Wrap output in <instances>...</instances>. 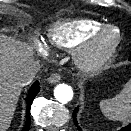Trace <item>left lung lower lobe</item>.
Segmentation results:
<instances>
[{
	"instance_id": "left-lung-lower-lobe-1",
	"label": "left lung lower lobe",
	"mask_w": 131,
	"mask_h": 131,
	"mask_svg": "<svg viewBox=\"0 0 131 131\" xmlns=\"http://www.w3.org/2000/svg\"><path fill=\"white\" fill-rule=\"evenodd\" d=\"M129 60L131 61V56L129 57ZM78 109H79V107H76L75 110H74L73 121H74V124L77 127V129L79 131H82L81 127L78 124L77 118H76L77 117L76 115H77ZM120 131H131V123L129 125L123 127Z\"/></svg>"
}]
</instances>
